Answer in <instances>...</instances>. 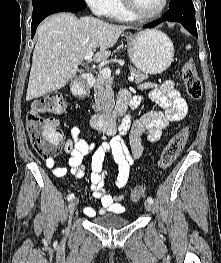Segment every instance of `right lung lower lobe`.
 <instances>
[{
  "label": "right lung lower lobe",
  "instance_id": "obj_1",
  "mask_svg": "<svg viewBox=\"0 0 221 263\" xmlns=\"http://www.w3.org/2000/svg\"><path fill=\"white\" fill-rule=\"evenodd\" d=\"M86 3L84 1L80 2H68V3H59L44 7L39 9L32 14V24H31V31H32V38L35 35V31L39 23L48 15L58 13V12H75L86 8Z\"/></svg>",
  "mask_w": 221,
  "mask_h": 263
}]
</instances>
